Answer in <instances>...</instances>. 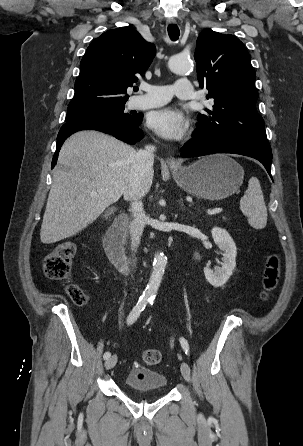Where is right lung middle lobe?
<instances>
[{
	"label": "right lung middle lobe",
	"instance_id": "right-lung-middle-lobe-1",
	"mask_svg": "<svg viewBox=\"0 0 303 446\" xmlns=\"http://www.w3.org/2000/svg\"><path fill=\"white\" fill-rule=\"evenodd\" d=\"M125 103L107 105L102 107H97L89 110H67L66 122L86 116H105L118 120H122L128 123H134L141 118V114H128L124 113Z\"/></svg>",
	"mask_w": 303,
	"mask_h": 446
}]
</instances>
